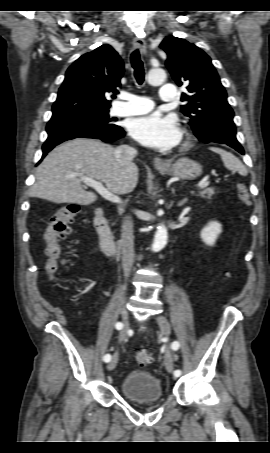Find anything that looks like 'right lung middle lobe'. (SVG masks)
I'll use <instances>...</instances> for the list:
<instances>
[{"mask_svg":"<svg viewBox=\"0 0 270 453\" xmlns=\"http://www.w3.org/2000/svg\"><path fill=\"white\" fill-rule=\"evenodd\" d=\"M108 112H109L108 110L86 111L70 116L51 118L50 121H76L96 126H112L111 123L112 120L109 119Z\"/></svg>","mask_w":270,"mask_h":453,"instance_id":"obj_1","label":"right lung middle lobe"}]
</instances>
